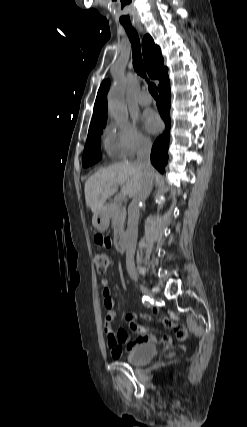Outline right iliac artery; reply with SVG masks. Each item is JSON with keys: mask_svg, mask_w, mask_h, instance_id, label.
<instances>
[{"mask_svg": "<svg viewBox=\"0 0 247 427\" xmlns=\"http://www.w3.org/2000/svg\"><path fill=\"white\" fill-rule=\"evenodd\" d=\"M142 303H143L145 306H149V305H150V303H151V300L149 299V297L143 296V297H142Z\"/></svg>", "mask_w": 247, "mask_h": 427, "instance_id": "1", "label": "right iliac artery"}]
</instances>
